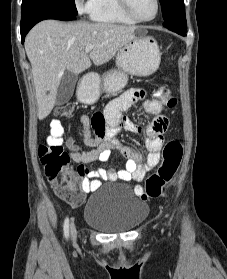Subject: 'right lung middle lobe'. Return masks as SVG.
Masks as SVG:
<instances>
[{"label":"right lung middle lobe","mask_w":227,"mask_h":279,"mask_svg":"<svg viewBox=\"0 0 227 279\" xmlns=\"http://www.w3.org/2000/svg\"><path fill=\"white\" fill-rule=\"evenodd\" d=\"M38 1H48L60 6L62 9L66 10L69 13L77 15V9L74 0H23L21 13L25 12L28 8H30L34 3Z\"/></svg>","instance_id":"obj_1"}]
</instances>
